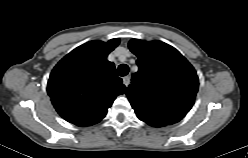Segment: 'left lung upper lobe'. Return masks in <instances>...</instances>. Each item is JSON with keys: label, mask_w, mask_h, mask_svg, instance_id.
Masks as SVG:
<instances>
[{"label": "left lung upper lobe", "mask_w": 248, "mask_h": 158, "mask_svg": "<svg viewBox=\"0 0 248 158\" xmlns=\"http://www.w3.org/2000/svg\"><path fill=\"white\" fill-rule=\"evenodd\" d=\"M138 57L127 97L137 117L154 127L180 121L192 108L199 80L193 66L174 47L161 41L132 39Z\"/></svg>", "instance_id": "5c2ea615"}]
</instances>
